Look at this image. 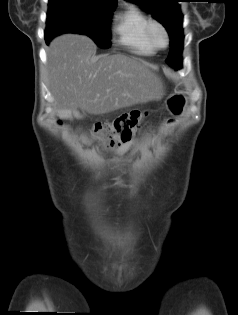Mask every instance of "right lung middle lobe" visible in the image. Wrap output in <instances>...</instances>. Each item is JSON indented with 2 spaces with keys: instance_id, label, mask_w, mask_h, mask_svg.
<instances>
[{
  "instance_id": "right-lung-middle-lobe-1",
  "label": "right lung middle lobe",
  "mask_w": 238,
  "mask_h": 315,
  "mask_svg": "<svg viewBox=\"0 0 238 315\" xmlns=\"http://www.w3.org/2000/svg\"><path fill=\"white\" fill-rule=\"evenodd\" d=\"M115 6L88 0H49L45 41L72 32L84 34L102 48L110 46V18Z\"/></svg>"
}]
</instances>
